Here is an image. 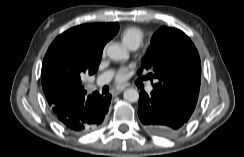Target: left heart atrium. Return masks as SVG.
<instances>
[{
  "instance_id": "39dd6f15",
  "label": "left heart atrium",
  "mask_w": 244,
  "mask_h": 157,
  "mask_svg": "<svg viewBox=\"0 0 244 157\" xmlns=\"http://www.w3.org/2000/svg\"><path fill=\"white\" fill-rule=\"evenodd\" d=\"M126 75H127V70L125 68H120L117 72L116 80L118 82H122L125 80Z\"/></svg>"
}]
</instances>
